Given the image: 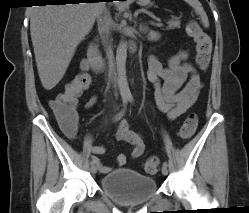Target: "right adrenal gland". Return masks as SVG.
<instances>
[{
    "label": "right adrenal gland",
    "mask_w": 249,
    "mask_h": 213,
    "mask_svg": "<svg viewBox=\"0 0 249 213\" xmlns=\"http://www.w3.org/2000/svg\"><path fill=\"white\" fill-rule=\"evenodd\" d=\"M104 17H105V19H109L110 18V14H109L108 11L105 12Z\"/></svg>",
    "instance_id": "2a0ac1e0"
}]
</instances>
